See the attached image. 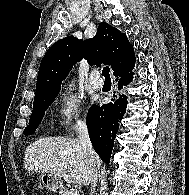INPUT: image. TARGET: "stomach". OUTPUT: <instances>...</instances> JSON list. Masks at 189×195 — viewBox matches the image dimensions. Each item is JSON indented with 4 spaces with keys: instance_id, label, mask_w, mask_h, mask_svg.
Here are the masks:
<instances>
[{
    "instance_id": "0dacf381",
    "label": "stomach",
    "mask_w": 189,
    "mask_h": 195,
    "mask_svg": "<svg viewBox=\"0 0 189 195\" xmlns=\"http://www.w3.org/2000/svg\"><path fill=\"white\" fill-rule=\"evenodd\" d=\"M39 180L43 186L50 191H55L61 188V180L50 173H40Z\"/></svg>"
}]
</instances>
